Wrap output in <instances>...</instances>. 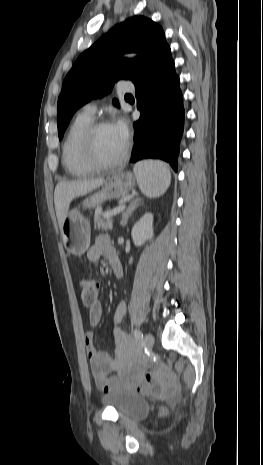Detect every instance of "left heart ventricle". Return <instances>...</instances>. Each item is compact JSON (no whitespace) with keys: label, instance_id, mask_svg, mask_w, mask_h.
<instances>
[{"label":"left heart ventricle","instance_id":"obj_1","mask_svg":"<svg viewBox=\"0 0 263 465\" xmlns=\"http://www.w3.org/2000/svg\"><path fill=\"white\" fill-rule=\"evenodd\" d=\"M124 146L112 126L100 129L95 136V151L101 161H113L122 153Z\"/></svg>","mask_w":263,"mask_h":465}]
</instances>
